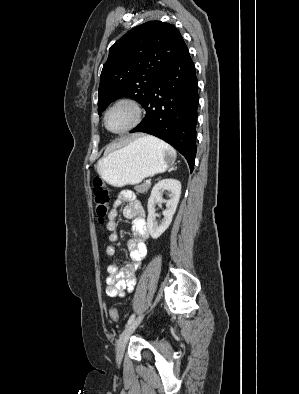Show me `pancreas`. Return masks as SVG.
<instances>
[{
    "label": "pancreas",
    "mask_w": 299,
    "mask_h": 394,
    "mask_svg": "<svg viewBox=\"0 0 299 394\" xmlns=\"http://www.w3.org/2000/svg\"><path fill=\"white\" fill-rule=\"evenodd\" d=\"M149 187H150V184L143 183V184H141V185L135 186V190H136L138 193L144 194V193H146V192L148 191Z\"/></svg>",
    "instance_id": "1"
}]
</instances>
